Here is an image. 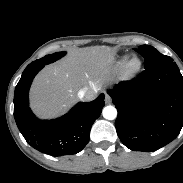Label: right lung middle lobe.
Returning a JSON list of instances; mask_svg holds the SVG:
<instances>
[{"mask_svg": "<svg viewBox=\"0 0 183 183\" xmlns=\"http://www.w3.org/2000/svg\"><path fill=\"white\" fill-rule=\"evenodd\" d=\"M65 54H66V52H57V53H54V54H51V55H46L45 57H43L39 60L33 61L30 64L43 63L44 65H47V64L52 63V62L58 60L59 58L63 57Z\"/></svg>", "mask_w": 183, "mask_h": 183, "instance_id": "right-lung-middle-lobe-1", "label": "right lung middle lobe"}]
</instances>
